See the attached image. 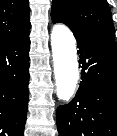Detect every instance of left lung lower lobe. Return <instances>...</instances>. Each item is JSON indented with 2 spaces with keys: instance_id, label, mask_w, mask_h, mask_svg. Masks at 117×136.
<instances>
[{
  "instance_id": "left-lung-lower-lobe-1",
  "label": "left lung lower lobe",
  "mask_w": 117,
  "mask_h": 136,
  "mask_svg": "<svg viewBox=\"0 0 117 136\" xmlns=\"http://www.w3.org/2000/svg\"><path fill=\"white\" fill-rule=\"evenodd\" d=\"M74 36L82 81L75 98L57 108L59 136H117L116 44Z\"/></svg>"
}]
</instances>
